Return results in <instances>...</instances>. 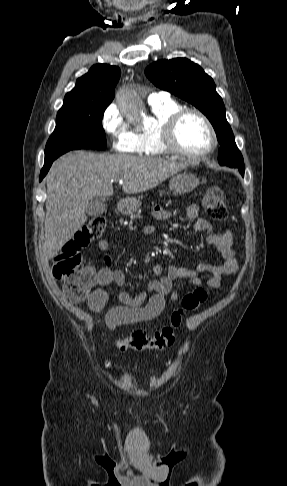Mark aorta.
<instances>
[{
	"label": "aorta",
	"mask_w": 287,
	"mask_h": 486,
	"mask_svg": "<svg viewBox=\"0 0 287 486\" xmlns=\"http://www.w3.org/2000/svg\"><path fill=\"white\" fill-rule=\"evenodd\" d=\"M119 107L122 113L130 121H137L143 119L145 125H149L152 121L151 118L146 117L140 105V100L137 96L131 94H123L121 96Z\"/></svg>",
	"instance_id": "aorta-1"
}]
</instances>
